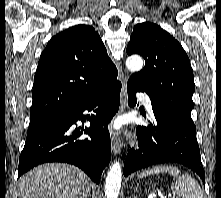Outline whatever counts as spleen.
<instances>
[{
	"label": "spleen",
	"instance_id": "spleen-1",
	"mask_svg": "<svg viewBox=\"0 0 221 198\" xmlns=\"http://www.w3.org/2000/svg\"><path fill=\"white\" fill-rule=\"evenodd\" d=\"M169 173L175 179L171 189L181 198H204L203 191L199 184L189 174H181V171L173 166L159 165L144 170L138 178L146 176Z\"/></svg>",
	"mask_w": 221,
	"mask_h": 198
}]
</instances>
